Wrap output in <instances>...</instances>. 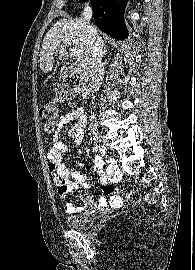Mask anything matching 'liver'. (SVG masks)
<instances>
[{"label":"liver","instance_id":"liver-1","mask_svg":"<svg viewBox=\"0 0 195 270\" xmlns=\"http://www.w3.org/2000/svg\"><path fill=\"white\" fill-rule=\"evenodd\" d=\"M97 31V30H96ZM98 32V31H97ZM70 40L73 49L80 51L81 56L86 55L88 49V34L83 18L61 19L57 21L46 34L40 52V69L47 73L53 69V54L59 50V59H64L68 52L64 40Z\"/></svg>","mask_w":195,"mask_h":270}]
</instances>
